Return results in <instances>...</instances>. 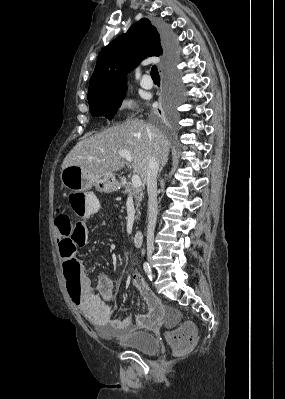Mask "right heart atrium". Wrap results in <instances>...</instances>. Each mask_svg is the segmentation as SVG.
Returning <instances> with one entry per match:
<instances>
[{"label": "right heart atrium", "mask_w": 285, "mask_h": 399, "mask_svg": "<svg viewBox=\"0 0 285 399\" xmlns=\"http://www.w3.org/2000/svg\"><path fill=\"white\" fill-rule=\"evenodd\" d=\"M118 108L124 113L130 114L134 109V102L130 96H123L118 101Z\"/></svg>", "instance_id": "right-heart-atrium-1"}]
</instances>
